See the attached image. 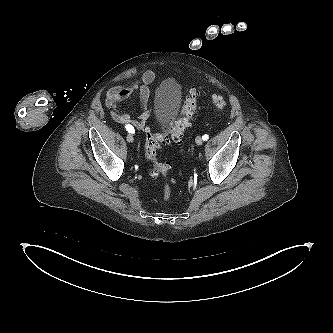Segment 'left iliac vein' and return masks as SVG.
<instances>
[{
  "label": "left iliac vein",
  "instance_id": "obj_1",
  "mask_svg": "<svg viewBox=\"0 0 333 333\" xmlns=\"http://www.w3.org/2000/svg\"><path fill=\"white\" fill-rule=\"evenodd\" d=\"M195 141L197 145H201L203 143V139L200 136H197Z\"/></svg>",
  "mask_w": 333,
  "mask_h": 333
}]
</instances>
